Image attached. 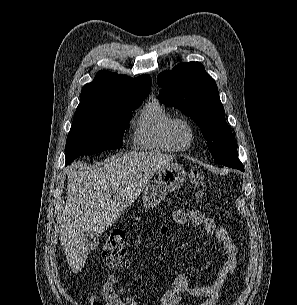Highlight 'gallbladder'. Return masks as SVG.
Instances as JSON below:
<instances>
[{
    "instance_id": "bac80fb5",
    "label": "gallbladder",
    "mask_w": 297,
    "mask_h": 305,
    "mask_svg": "<svg viewBox=\"0 0 297 305\" xmlns=\"http://www.w3.org/2000/svg\"><path fill=\"white\" fill-rule=\"evenodd\" d=\"M100 234L93 231L83 232V241L89 250H95L99 245Z\"/></svg>"
}]
</instances>
